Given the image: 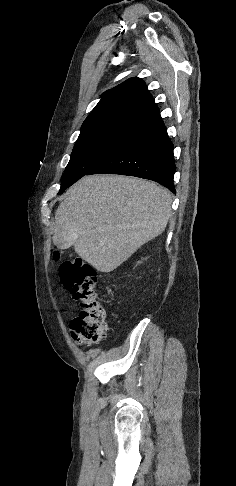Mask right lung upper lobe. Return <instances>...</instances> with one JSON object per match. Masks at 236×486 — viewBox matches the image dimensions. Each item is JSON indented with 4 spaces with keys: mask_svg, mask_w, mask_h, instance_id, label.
Segmentation results:
<instances>
[{
    "mask_svg": "<svg viewBox=\"0 0 236 486\" xmlns=\"http://www.w3.org/2000/svg\"><path fill=\"white\" fill-rule=\"evenodd\" d=\"M158 112L144 81L138 77L130 78L102 94L99 103L83 122L81 133L117 124L140 125Z\"/></svg>",
    "mask_w": 236,
    "mask_h": 486,
    "instance_id": "1",
    "label": "right lung upper lobe"
}]
</instances>
